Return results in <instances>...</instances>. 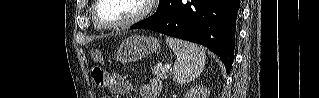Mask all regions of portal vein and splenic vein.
<instances>
[{
    "label": "portal vein and splenic vein",
    "mask_w": 319,
    "mask_h": 98,
    "mask_svg": "<svg viewBox=\"0 0 319 98\" xmlns=\"http://www.w3.org/2000/svg\"><path fill=\"white\" fill-rule=\"evenodd\" d=\"M161 67H162L163 70H168V69H170V65H165V66H162V65H161Z\"/></svg>",
    "instance_id": "18ae733b"
}]
</instances>
